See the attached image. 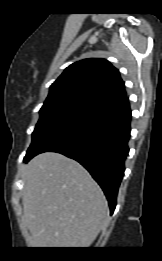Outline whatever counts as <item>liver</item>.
<instances>
[{"mask_svg": "<svg viewBox=\"0 0 162 261\" xmlns=\"http://www.w3.org/2000/svg\"><path fill=\"white\" fill-rule=\"evenodd\" d=\"M22 219L38 248H86L108 222L106 198L76 161L47 152L23 173Z\"/></svg>", "mask_w": 162, "mask_h": 261, "instance_id": "obj_1", "label": "liver"}]
</instances>
